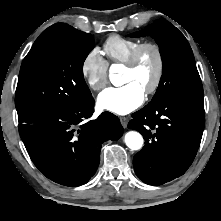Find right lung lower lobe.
<instances>
[{
	"mask_svg": "<svg viewBox=\"0 0 221 221\" xmlns=\"http://www.w3.org/2000/svg\"><path fill=\"white\" fill-rule=\"evenodd\" d=\"M94 112L91 96L80 106L59 112L40 113L19 122V133L35 166L50 180L75 187L96 173L102 143L118 140L123 127L117 116Z\"/></svg>",
	"mask_w": 221,
	"mask_h": 221,
	"instance_id": "98d812e1",
	"label": "right lung lower lobe"
}]
</instances>
